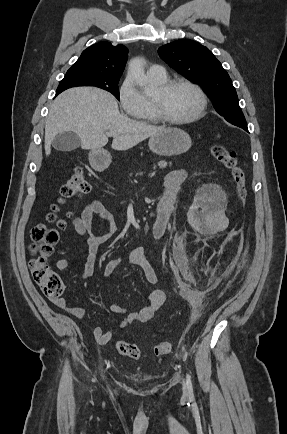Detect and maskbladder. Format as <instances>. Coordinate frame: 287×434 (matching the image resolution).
Wrapping results in <instances>:
<instances>
[{
  "label": "bladder",
  "instance_id": "1",
  "mask_svg": "<svg viewBox=\"0 0 287 434\" xmlns=\"http://www.w3.org/2000/svg\"><path fill=\"white\" fill-rule=\"evenodd\" d=\"M141 381H146V379H140Z\"/></svg>",
  "mask_w": 287,
  "mask_h": 434
}]
</instances>
